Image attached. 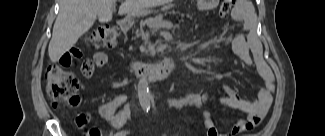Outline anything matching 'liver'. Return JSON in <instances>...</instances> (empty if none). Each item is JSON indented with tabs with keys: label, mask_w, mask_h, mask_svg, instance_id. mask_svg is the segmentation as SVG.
I'll list each match as a JSON object with an SVG mask.
<instances>
[{
	"label": "liver",
	"mask_w": 325,
	"mask_h": 136,
	"mask_svg": "<svg viewBox=\"0 0 325 136\" xmlns=\"http://www.w3.org/2000/svg\"><path fill=\"white\" fill-rule=\"evenodd\" d=\"M116 0H60V10L56 18L48 53L52 62L72 48L98 18L101 22L112 19V7ZM169 0H124L119 14L140 16L145 9L168 3Z\"/></svg>",
	"instance_id": "obj_1"
}]
</instances>
